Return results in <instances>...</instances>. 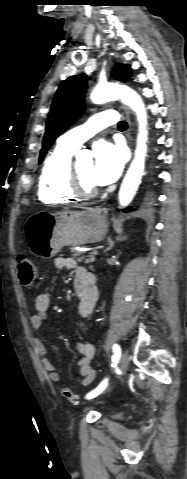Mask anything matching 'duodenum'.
<instances>
[{"mask_svg": "<svg viewBox=\"0 0 187 479\" xmlns=\"http://www.w3.org/2000/svg\"><path fill=\"white\" fill-rule=\"evenodd\" d=\"M85 287L86 289L88 290H91V289H94L95 288V279L94 277H90L89 279H87L86 283H85Z\"/></svg>", "mask_w": 187, "mask_h": 479, "instance_id": "1", "label": "duodenum"}]
</instances>
